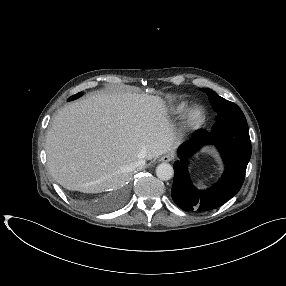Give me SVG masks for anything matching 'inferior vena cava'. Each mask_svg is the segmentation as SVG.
Masks as SVG:
<instances>
[{"label":"inferior vena cava","mask_w":286,"mask_h":286,"mask_svg":"<svg viewBox=\"0 0 286 286\" xmlns=\"http://www.w3.org/2000/svg\"><path fill=\"white\" fill-rule=\"evenodd\" d=\"M144 164H145L144 160H141V161H139L138 164L136 165V168H141V167L144 166Z\"/></svg>","instance_id":"inferior-vena-cava-1"}]
</instances>
